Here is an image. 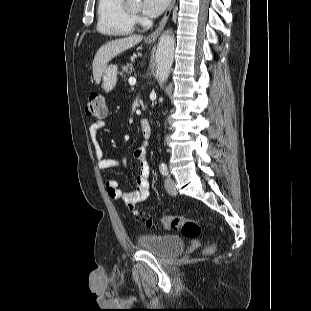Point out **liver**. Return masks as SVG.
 Returning <instances> with one entry per match:
<instances>
[{
  "label": "liver",
  "instance_id": "obj_1",
  "mask_svg": "<svg viewBox=\"0 0 311 311\" xmlns=\"http://www.w3.org/2000/svg\"><path fill=\"white\" fill-rule=\"evenodd\" d=\"M141 35H132L111 41L99 48L93 60V77L97 84L100 83L102 74L107 64L117 55L132 48L142 41Z\"/></svg>",
  "mask_w": 311,
  "mask_h": 311
}]
</instances>
